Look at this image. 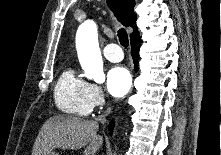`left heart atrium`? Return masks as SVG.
Here are the masks:
<instances>
[{"instance_id":"39dd6f15","label":"left heart atrium","mask_w":221,"mask_h":155,"mask_svg":"<svg viewBox=\"0 0 221 155\" xmlns=\"http://www.w3.org/2000/svg\"><path fill=\"white\" fill-rule=\"evenodd\" d=\"M131 82V75L125 67H113L107 74L108 91L115 97L124 96L129 91Z\"/></svg>"}]
</instances>
